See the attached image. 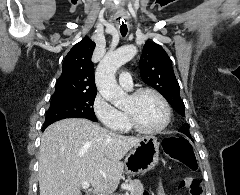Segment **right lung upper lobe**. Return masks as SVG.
I'll return each mask as SVG.
<instances>
[{
	"instance_id": "cb5924a9",
	"label": "right lung upper lobe",
	"mask_w": 240,
	"mask_h": 195,
	"mask_svg": "<svg viewBox=\"0 0 240 195\" xmlns=\"http://www.w3.org/2000/svg\"><path fill=\"white\" fill-rule=\"evenodd\" d=\"M95 43L88 37L75 44L66 55L62 74L53 95L96 94L94 65L91 61Z\"/></svg>"
}]
</instances>
